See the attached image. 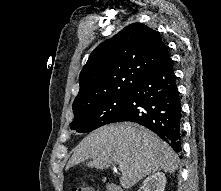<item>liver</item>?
Segmentation results:
<instances>
[{
	"label": "liver",
	"mask_w": 221,
	"mask_h": 191,
	"mask_svg": "<svg viewBox=\"0 0 221 191\" xmlns=\"http://www.w3.org/2000/svg\"><path fill=\"white\" fill-rule=\"evenodd\" d=\"M89 159L87 166L97 169L108 168L112 162L119 164L120 184L126 189L151 173L178 168V157L166 142L130 122L103 126L87 135L74 149L68 166Z\"/></svg>",
	"instance_id": "liver-1"
}]
</instances>
